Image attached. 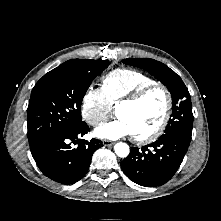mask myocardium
I'll use <instances>...</instances> for the list:
<instances>
[{
  "label": "myocardium",
  "instance_id": "myocardium-1",
  "mask_svg": "<svg viewBox=\"0 0 221 221\" xmlns=\"http://www.w3.org/2000/svg\"><path fill=\"white\" fill-rule=\"evenodd\" d=\"M154 90H161L166 98V107L164 115L159 123V125L156 127L155 130L152 132L143 135V136H136L133 135V140L138 144H148L151 142H154L157 140L165 131L168 122L170 120L171 114H172V108H173V97L170 92V90L163 84L160 83H153L147 86H144L134 92L133 94L123 98L115 105V112L116 110L124 105H137L139 104L150 92Z\"/></svg>",
  "mask_w": 221,
  "mask_h": 221
}]
</instances>
